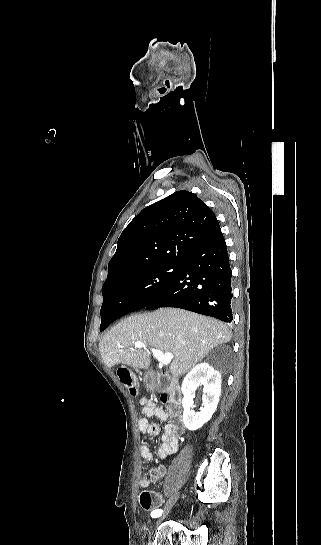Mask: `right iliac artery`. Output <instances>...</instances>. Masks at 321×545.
<instances>
[{"instance_id":"1","label":"right iliac artery","mask_w":321,"mask_h":545,"mask_svg":"<svg viewBox=\"0 0 321 545\" xmlns=\"http://www.w3.org/2000/svg\"><path fill=\"white\" fill-rule=\"evenodd\" d=\"M162 513H163L162 510H155V511H153V512L151 513V516L154 517V518H156V517L161 516Z\"/></svg>"}]
</instances>
